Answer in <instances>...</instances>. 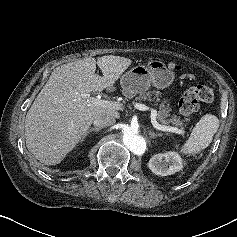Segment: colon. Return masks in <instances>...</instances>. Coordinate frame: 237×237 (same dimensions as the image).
<instances>
[{"instance_id": "5ec220e1", "label": "colon", "mask_w": 237, "mask_h": 237, "mask_svg": "<svg viewBox=\"0 0 237 237\" xmlns=\"http://www.w3.org/2000/svg\"><path fill=\"white\" fill-rule=\"evenodd\" d=\"M172 69L175 71H181L182 66L172 63ZM214 99L213 90L205 85H198L187 89L179 102V109L183 116L190 118L199 110V101L210 103Z\"/></svg>"}]
</instances>
